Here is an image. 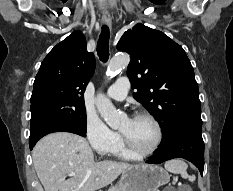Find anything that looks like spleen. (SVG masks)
Segmentation results:
<instances>
[{
	"instance_id": "3e777b00",
	"label": "spleen",
	"mask_w": 233,
	"mask_h": 191,
	"mask_svg": "<svg viewBox=\"0 0 233 191\" xmlns=\"http://www.w3.org/2000/svg\"><path fill=\"white\" fill-rule=\"evenodd\" d=\"M165 169L171 173L180 174L182 178L188 179L191 182L195 180V176L188 175L187 164L182 160L174 159L167 161L165 163Z\"/></svg>"
}]
</instances>
